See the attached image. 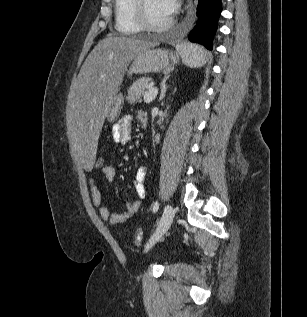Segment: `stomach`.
Here are the masks:
<instances>
[{
    "instance_id": "stomach-1",
    "label": "stomach",
    "mask_w": 307,
    "mask_h": 317,
    "mask_svg": "<svg viewBox=\"0 0 307 317\" xmlns=\"http://www.w3.org/2000/svg\"><path fill=\"white\" fill-rule=\"evenodd\" d=\"M177 62L173 53L163 49L149 48L136 55L130 62L127 71L128 76L132 74H147L151 72H160ZM124 98L121 93L116 94L110 106L107 118L114 122L120 115Z\"/></svg>"
}]
</instances>
